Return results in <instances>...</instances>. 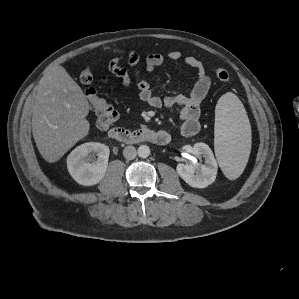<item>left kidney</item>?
Masks as SVG:
<instances>
[{
    "mask_svg": "<svg viewBox=\"0 0 299 299\" xmlns=\"http://www.w3.org/2000/svg\"><path fill=\"white\" fill-rule=\"evenodd\" d=\"M192 149L193 154L198 158L203 157L205 163H179L176 170L179 176L191 187L205 188L215 181L218 169L217 162L207 144L196 143Z\"/></svg>",
    "mask_w": 299,
    "mask_h": 299,
    "instance_id": "5707ae66",
    "label": "left kidney"
}]
</instances>
